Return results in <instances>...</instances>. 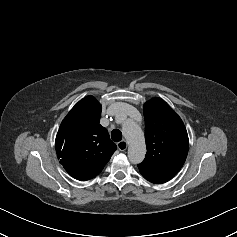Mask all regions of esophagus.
<instances>
[{
    "label": "esophagus",
    "mask_w": 237,
    "mask_h": 237,
    "mask_svg": "<svg viewBox=\"0 0 237 237\" xmlns=\"http://www.w3.org/2000/svg\"><path fill=\"white\" fill-rule=\"evenodd\" d=\"M117 147L120 151H125L128 147V144L125 140H122V141L117 143Z\"/></svg>",
    "instance_id": "obj_1"
}]
</instances>
